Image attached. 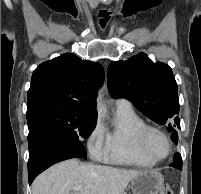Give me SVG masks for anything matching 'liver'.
Returning <instances> with one entry per match:
<instances>
[{
    "label": "liver",
    "mask_w": 201,
    "mask_h": 194,
    "mask_svg": "<svg viewBox=\"0 0 201 194\" xmlns=\"http://www.w3.org/2000/svg\"><path fill=\"white\" fill-rule=\"evenodd\" d=\"M142 172L71 159L40 174L32 184V194H71L75 186L83 187L77 194H123L128 183Z\"/></svg>",
    "instance_id": "6515ba94"
}]
</instances>
